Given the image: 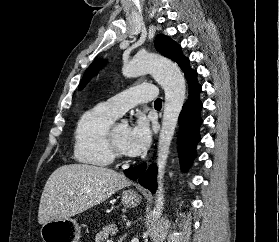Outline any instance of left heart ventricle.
I'll return each mask as SVG.
<instances>
[{
    "instance_id": "1",
    "label": "left heart ventricle",
    "mask_w": 279,
    "mask_h": 242,
    "mask_svg": "<svg viewBox=\"0 0 279 242\" xmlns=\"http://www.w3.org/2000/svg\"><path fill=\"white\" fill-rule=\"evenodd\" d=\"M129 126L126 124H120L115 130V139L119 147L126 153L125 145L129 135Z\"/></svg>"
}]
</instances>
